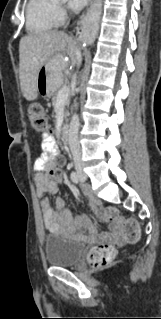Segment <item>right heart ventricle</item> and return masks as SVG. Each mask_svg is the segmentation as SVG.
<instances>
[{
    "mask_svg": "<svg viewBox=\"0 0 161 319\" xmlns=\"http://www.w3.org/2000/svg\"><path fill=\"white\" fill-rule=\"evenodd\" d=\"M61 21L54 0H30L26 7V27L30 34H43L55 29Z\"/></svg>",
    "mask_w": 161,
    "mask_h": 319,
    "instance_id": "1",
    "label": "right heart ventricle"
}]
</instances>
